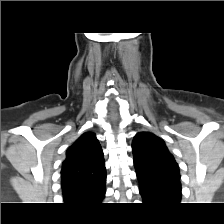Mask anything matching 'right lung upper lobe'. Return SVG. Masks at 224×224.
Returning a JSON list of instances; mask_svg holds the SVG:
<instances>
[{"mask_svg":"<svg viewBox=\"0 0 224 224\" xmlns=\"http://www.w3.org/2000/svg\"><path fill=\"white\" fill-rule=\"evenodd\" d=\"M61 187L66 202H95L105 190L104 155L96 135L82 134L69 147L61 170Z\"/></svg>","mask_w":224,"mask_h":224,"instance_id":"1","label":"right lung upper lobe"}]
</instances>
